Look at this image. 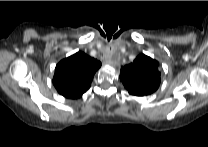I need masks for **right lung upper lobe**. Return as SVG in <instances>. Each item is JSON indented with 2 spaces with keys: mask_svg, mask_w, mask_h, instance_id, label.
<instances>
[{
  "mask_svg": "<svg viewBox=\"0 0 208 147\" xmlns=\"http://www.w3.org/2000/svg\"><path fill=\"white\" fill-rule=\"evenodd\" d=\"M100 67L101 62L83 52H77L57 64L53 84L64 97L78 98L89 89Z\"/></svg>",
  "mask_w": 208,
  "mask_h": 147,
  "instance_id": "cb5924a9",
  "label": "right lung upper lobe"
}]
</instances>
